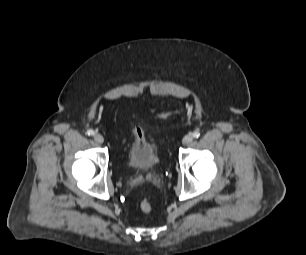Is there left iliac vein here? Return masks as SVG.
<instances>
[{
    "label": "left iliac vein",
    "mask_w": 306,
    "mask_h": 255,
    "mask_svg": "<svg viewBox=\"0 0 306 255\" xmlns=\"http://www.w3.org/2000/svg\"><path fill=\"white\" fill-rule=\"evenodd\" d=\"M193 141V136L191 134H188L186 136H184L183 140H182V143L184 145H187L189 143H191Z\"/></svg>",
    "instance_id": "obj_1"
}]
</instances>
